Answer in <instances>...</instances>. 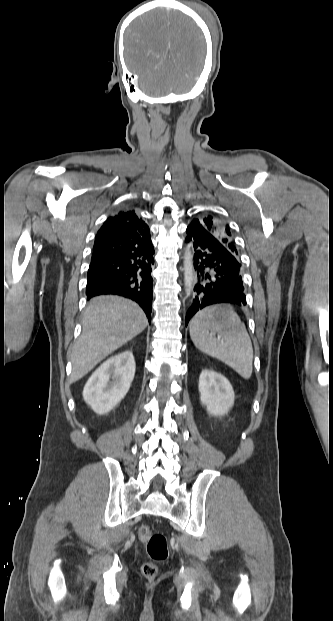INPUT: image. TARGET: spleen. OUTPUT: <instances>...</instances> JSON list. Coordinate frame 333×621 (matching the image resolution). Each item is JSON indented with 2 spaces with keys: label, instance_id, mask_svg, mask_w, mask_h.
<instances>
[{
  "label": "spleen",
  "instance_id": "3e777b00",
  "mask_svg": "<svg viewBox=\"0 0 333 621\" xmlns=\"http://www.w3.org/2000/svg\"><path fill=\"white\" fill-rule=\"evenodd\" d=\"M214 308L199 311L190 322V337L198 350L235 370L242 378L252 375L253 347L239 316L221 323L213 320ZM217 333L220 339L213 335Z\"/></svg>",
  "mask_w": 333,
  "mask_h": 621
}]
</instances>
